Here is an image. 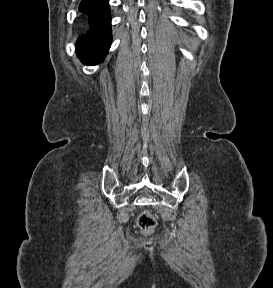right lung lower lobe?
Masks as SVG:
<instances>
[{
    "label": "right lung lower lobe",
    "mask_w": 273,
    "mask_h": 288,
    "mask_svg": "<svg viewBox=\"0 0 273 288\" xmlns=\"http://www.w3.org/2000/svg\"><path fill=\"white\" fill-rule=\"evenodd\" d=\"M79 10L88 19L90 28L78 38L76 52L84 64L95 65L105 58L111 45L109 2L108 0H82Z\"/></svg>",
    "instance_id": "obj_1"
}]
</instances>
